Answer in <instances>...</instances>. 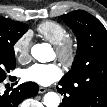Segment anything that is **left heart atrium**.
<instances>
[{"label": "left heart atrium", "instance_id": "left-heart-atrium-1", "mask_svg": "<svg viewBox=\"0 0 107 107\" xmlns=\"http://www.w3.org/2000/svg\"><path fill=\"white\" fill-rule=\"evenodd\" d=\"M23 79L39 85L48 86L61 77L57 64H34L23 71Z\"/></svg>", "mask_w": 107, "mask_h": 107}]
</instances>
